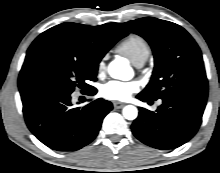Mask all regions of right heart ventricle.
<instances>
[{"mask_svg":"<svg viewBox=\"0 0 220 173\" xmlns=\"http://www.w3.org/2000/svg\"><path fill=\"white\" fill-rule=\"evenodd\" d=\"M118 50L133 64L140 60L146 61L151 53L150 45L139 35H130L119 45Z\"/></svg>","mask_w":220,"mask_h":173,"instance_id":"right-heart-ventricle-1","label":"right heart ventricle"}]
</instances>
